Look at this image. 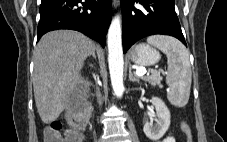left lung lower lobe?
Masks as SVG:
<instances>
[{"instance_id":"1","label":"left lung lower lobe","mask_w":227,"mask_h":142,"mask_svg":"<svg viewBox=\"0 0 227 142\" xmlns=\"http://www.w3.org/2000/svg\"><path fill=\"white\" fill-rule=\"evenodd\" d=\"M174 2V0H121L124 53L138 40L155 34L176 37L186 45ZM134 3L142 4L143 9L135 8Z\"/></svg>"}]
</instances>
